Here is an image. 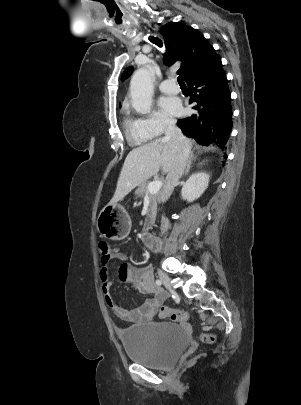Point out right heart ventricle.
<instances>
[{
    "label": "right heart ventricle",
    "mask_w": 301,
    "mask_h": 405,
    "mask_svg": "<svg viewBox=\"0 0 301 405\" xmlns=\"http://www.w3.org/2000/svg\"><path fill=\"white\" fill-rule=\"evenodd\" d=\"M123 128L128 141L132 145H141L150 141L154 136L142 125L139 118L134 117L129 111L123 116Z\"/></svg>",
    "instance_id": "obj_1"
}]
</instances>
